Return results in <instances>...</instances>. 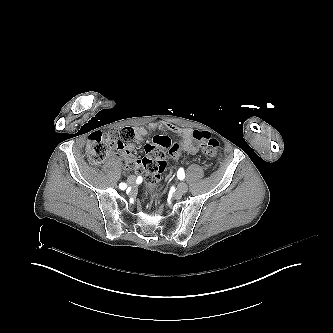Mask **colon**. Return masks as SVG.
<instances>
[{
    "mask_svg": "<svg viewBox=\"0 0 333 333\" xmlns=\"http://www.w3.org/2000/svg\"><path fill=\"white\" fill-rule=\"evenodd\" d=\"M121 137L124 144L132 141L135 132L131 128H125L120 133L112 131L110 135L104 136L100 133H94L89 137L86 152L93 164H99L104 161L119 145L120 141L115 138ZM174 153L179 155L181 152L178 142H172L167 136H156L145 146L146 156L139 162L144 171V181L148 191V198L154 201L158 198V188L161 182V176L166 168V155ZM203 152L211 157L217 158L221 155L222 149L218 140L211 139L203 145Z\"/></svg>",
    "mask_w": 333,
    "mask_h": 333,
    "instance_id": "1",
    "label": "colon"
}]
</instances>
